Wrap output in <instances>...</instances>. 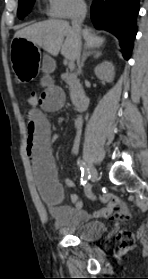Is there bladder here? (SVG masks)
Wrapping results in <instances>:
<instances>
[{"label": "bladder", "mask_w": 148, "mask_h": 279, "mask_svg": "<svg viewBox=\"0 0 148 279\" xmlns=\"http://www.w3.org/2000/svg\"><path fill=\"white\" fill-rule=\"evenodd\" d=\"M58 230L68 236L83 240L95 241L102 238L106 232V226L100 221H90L75 225H64L60 223Z\"/></svg>", "instance_id": "31cf9c89"}]
</instances>
